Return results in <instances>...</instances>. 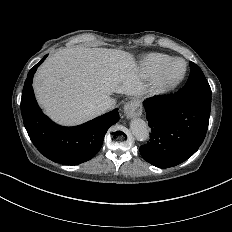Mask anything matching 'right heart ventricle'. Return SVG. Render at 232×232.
Here are the masks:
<instances>
[{"label": "right heart ventricle", "instance_id": "1", "mask_svg": "<svg viewBox=\"0 0 232 232\" xmlns=\"http://www.w3.org/2000/svg\"><path fill=\"white\" fill-rule=\"evenodd\" d=\"M173 58L167 54L149 53L133 61L127 75L135 83H143L153 77Z\"/></svg>", "mask_w": 232, "mask_h": 232}]
</instances>
